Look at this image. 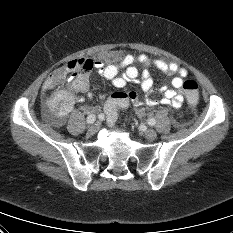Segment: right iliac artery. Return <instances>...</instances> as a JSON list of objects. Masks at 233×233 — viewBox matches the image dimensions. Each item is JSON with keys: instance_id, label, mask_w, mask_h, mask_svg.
Here are the masks:
<instances>
[{"instance_id": "1", "label": "right iliac artery", "mask_w": 233, "mask_h": 233, "mask_svg": "<svg viewBox=\"0 0 233 233\" xmlns=\"http://www.w3.org/2000/svg\"><path fill=\"white\" fill-rule=\"evenodd\" d=\"M95 122V115H89L88 117H87V123L88 124H92V123H94Z\"/></svg>"}]
</instances>
